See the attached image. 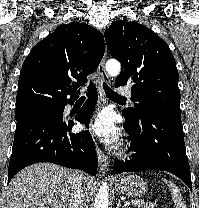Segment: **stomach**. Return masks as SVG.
Listing matches in <instances>:
<instances>
[{"label": "stomach", "mask_w": 199, "mask_h": 208, "mask_svg": "<svg viewBox=\"0 0 199 208\" xmlns=\"http://www.w3.org/2000/svg\"><path fill=\"white\" fill-rule=\"evenodd\" d=\"M115 188L119 193L132 198L142 197L147 191L146 183L137 175L120 178L116 181Z\"/></svg>", "instance_id": "obj_1"}]
</instances>
